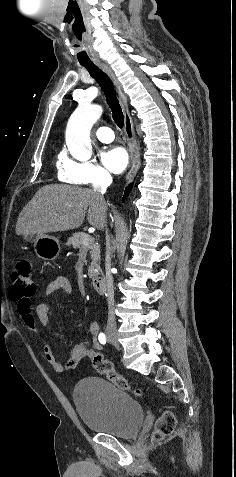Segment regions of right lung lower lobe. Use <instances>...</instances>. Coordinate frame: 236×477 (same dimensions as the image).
Listing matches in <instances>:
<instances>
[{"instance_id": "obj_1", "label": "right lung lower lobe", "mask_w": 236, "mask_h": 477, "mask_svg": "<svg viewBox=\"0 0 236 477\" xmlns=\"http://www.w3.org/2000/svg\"><path fill=\"white\" fill-rule=\"evenodd\" d=\"M130 191H131V186H128V187L125 189V193H124L123 200L128 196V194L130 193Z\"/></svg>"}]
</instances>
